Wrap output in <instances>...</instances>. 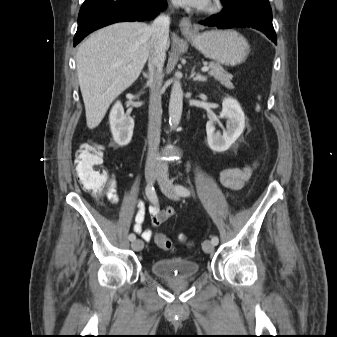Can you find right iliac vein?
<instances>
[{
  "label": "right iliac vein",
  "instance_id": "63e3f726",
  "mask_svg": "<svg viewBox=\"0 0 337 337\" xmlns=\"http://www.w3.org/2000/svg\"><path fill=\"white\" fill-rule=\"evenodd\" d=\"M158 174H159L158 167H156L154 165H149V166L146 167L145 177H146V180L149 183H154ZM131 247L135 251H140L143 248V241L140 240V239H136V240L132 241Z\"/></svg>",
  "mask_w": 337,
  "mask_h": 337
}]
</instances>
